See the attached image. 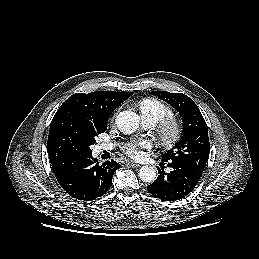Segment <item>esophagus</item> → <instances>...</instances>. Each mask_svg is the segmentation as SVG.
<instances>
[{
    "mask_svg": "<svg viewBox=\"0 0 259 259\" xmlns=\"http://www.w3.org/2000/svg\"><path fill=\"white\" fill-rule=\"evenodd\" d=\"M128 164H130L132 167H134V168H139V167H141V165L140 164H138V163H135V162H133V161H126Z\"/></svg>",
    "mask_w": 259,
    "mask_h": 259,
    "instance_id": "obj_1",
    "label": "esophagus"
}]
</instances>
